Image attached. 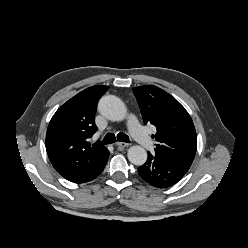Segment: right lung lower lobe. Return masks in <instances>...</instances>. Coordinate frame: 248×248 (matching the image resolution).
Masks as SVG:
<instances>
[{
    "instance_id": "obj_1",
    "label": "right lung lower lobe",
    "mask_w": 248,
    "mask_h": 248,
    "mask_svg": "<svg viewBox=\"0 0 248 248\" xmlns=\"http://www.w3.org/2000/svg\"><path fill=\"white\" fill-rule=\"evenodd\" d=\"M108 156H109V153L106 156V158L104 159V161L87 178H85L80 183L88 182V181L92 180L93 178L97 177L98 175H100L102 173L106 163H107Z\"/></svg>"
}]
</instances>
